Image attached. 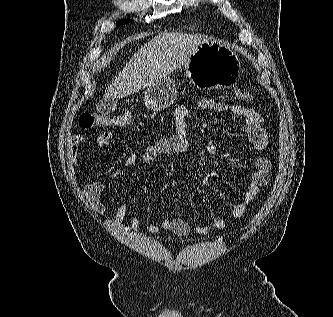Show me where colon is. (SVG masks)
Wrapping results in <instances>:
<instances>
[{"instance_id":"colon-1","label":"colon","mask_w":333,"mask_h":317,"mask_svg":"<svg viewBox=\"0 0 333 317\" xmlns=\"http://www.w3.org/2000/svg\"><path fill=\"white\" fill-rule=\"evenodd\" d=\"M235 95L242 100L251 101L253 96L250 92L237 89ZM131 122V115L129 112L124 111L120 116L109 117L97 113H84L79 119V124L83 129H93L96 127L109 126V125H122L126 126Z\"/></svg>"}]
</instances>
